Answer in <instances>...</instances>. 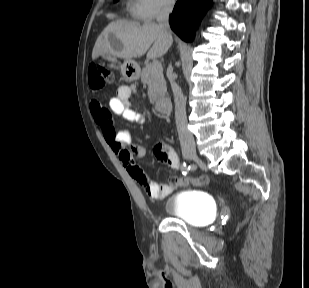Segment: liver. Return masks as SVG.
Instances as JSON below:
<instances>
[{"instance_id":"obj_1","label":"liver","mask_w":309,"mask_h":288,"mask_svg":"<svg viewBox=\"0 0 309 288\" xmlns=\"http://www.w3.org/2000/svg\"><path fill=\"white\" fill-rule=\"evenodd\" d=\"M112 37L120 41V49L112 46ZM171 44L172 38H168L156 23L145 22L141 25L138 22L116 20L110 22L96 40L92 59L102 54L132 59L143 56L148 50V58H157L163 56Z\"/></svg>"}]
</instances>
